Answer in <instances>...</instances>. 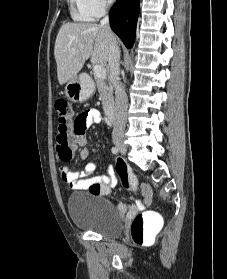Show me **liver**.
Instances as JSON below:
<instances>
[{"instance_id":"1","label":"liver","mask_w":227,"mask_h":279,"mask_svg":"<svg viewBox=\"0 0 227 279\" xmlns=\"http://www.w3.org/2000/svg\"><path fill=\"white\" fill-rule=\"evenodd\" d=\"M111 41L117 43L112 31L96 23L63 24L54 48L59 84L75 77L90 57L93 64L106 66Z\"/></svg>"}]
</instances>
